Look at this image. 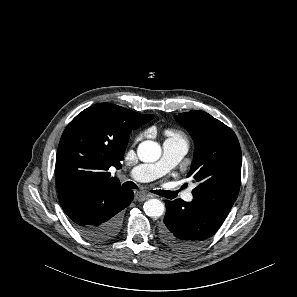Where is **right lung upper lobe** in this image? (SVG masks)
<instances>
[{
	"label": "right lung upper lobe",
	"mask_w": 297,
	"mask_h": 297,
	"mask_svg": "<svg viewBox=\"0 0 297 297\" xmlns=\"http://www.w3.org/2000/svg\"><path fill=\"white\" fill-rule=\"evenodd\" d=\"M153 117L110 103L95 104L79 113L64 130L57 150L56 184L61 203L85 187H120L108 169L122 167L130 132Z\"/></svg>",
	"instance_id": "cb5924a9"
}]
</instances>
